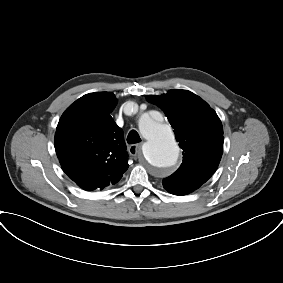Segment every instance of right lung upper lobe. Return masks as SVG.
Here are the masks:
<instances>
[{"instance_id":"obj_1","label":"right lung upper lobe","mask_w":283,"mask_h":283,"mask_svg":"<svg viewBox=\"0 0 283 283\" xmlns=\"http://www.w3.org/2000/svg\"><path fill=\"white\" fill-rule=\"evenodd\" d=\"M117 99L113 93L86 94L61 116L55 134L63 170L85 190H102L117 183L128 169L123 131L110 112Z\"/></svg>"}]
</instances>
